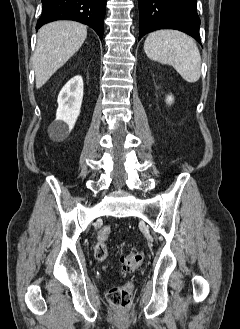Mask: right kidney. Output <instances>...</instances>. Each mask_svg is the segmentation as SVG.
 I'll return each mask as SVG.
<instances>
[{
	"instance_id": "ca27d5eb",
	"label": "right kidney",
	"mask_w": 240,
	"mask_h": 329,
	"mask_svg": "<svg viewBox=\"0 0 240 329\" xmlns=\"http://www.w3.org/2000/svg\"><path fill=\"white\" fill-rule=\"evenodd\" d=\"M83 99V79L75 76L69 80L58 95L56 119L49 131L56 138L67 137L80 114Z\"/></svg>"
}]
</instances>
